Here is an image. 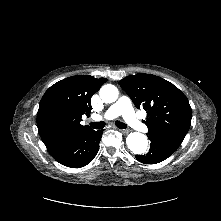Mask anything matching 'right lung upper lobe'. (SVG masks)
<instances>
[{
    "label": "right lung upper lobe",
    "instance_id": "cb5924a9",
    "mask_svg": "<svg viewBox=\"0 0 221 221\" xmlns=\"http://www.w3.org/2000/svg\"><path fill=\"white\" fill-rule=\"evenodd\" d=\"M106 81L76 75L55 83L45 92L37 113V127L48 151L91 129L80 124L82 115H89L91 97Z\"/></svg>",
    "mask_w": 221,
    "mask_h": 221
}]
</instances>
